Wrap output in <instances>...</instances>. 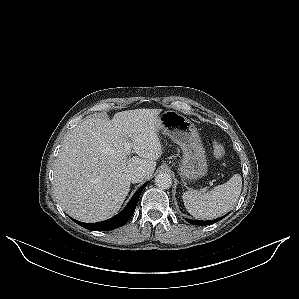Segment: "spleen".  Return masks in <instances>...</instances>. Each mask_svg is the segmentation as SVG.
I'll return each mask as SVG.
<instances>
[{
	"label": "spleen",
	"mask_w": 299,
	"mask_h": 299,
	"mask_svg": "<svg viewBox=\"0 0 299 299\" xmlns=\"http://www.w3.org/2000/svg\"><path fill=\"white\" fill-rule=\"evenodd\" d=\"M242 188L240 174L210 191L189 190L183 193L186 210L195 218L213 219L229 211L238 200Z\"/></svg>",
	"instance_id": "obj_1"
}]
</instances>
